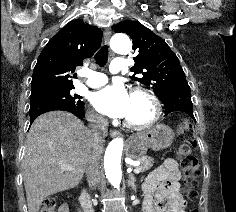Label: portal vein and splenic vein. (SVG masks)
I'll use <instances>...</instances> for the list:
<instances>
[{
	"label": "portal vein and splenic vein",
	"instance_id": "obj_1",
	"mask_svg": "<svg viewBox=\"0 0 236 212\" xmlns=\"http://www.w3.org/2000/svg\"><path fill=\"white\" fill-rule=\"evenodd\" d=\"M136 166L137 167H135V169L133 171H134L135 174H139L141 172V169L138 167L139 163L136 164ZM61 169L65 170V171H74L73 166L68 165V164L61 165Z\"/></svg>",
	"mask_w": 236,
	"mask_h": 212
}]
</instances>
